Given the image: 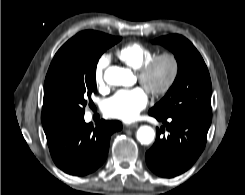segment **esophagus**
Wrapping results in <instances>:
<instances>
[{"instance_id": "esophagus-1", "label": "esophagus", "mask_w": 245, "mask_h": 195, "mask_svg": "<svg viewBox=\"0 0 245 195\" xmlns=\"http://www.w3.org/2000/svg\"><path fill=\"white\" fill-rule=\"evenodd\" d=\"M137 126H138L137 123L127 124V125H126L127 128H136Z\"/></svg>"}]
</instances>
